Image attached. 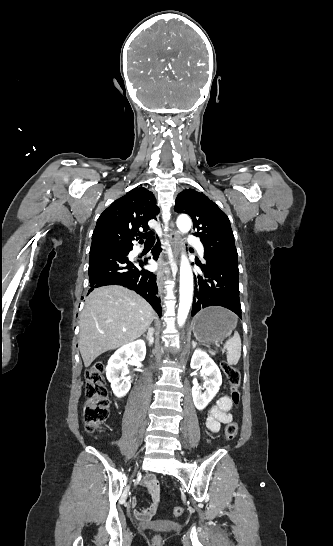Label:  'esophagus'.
Segmentation results:
<instances>
[{"label":"esophagus","instance_id":"34e87169","mask_svg":"<svg viewBox=\"0 0 333 546\" xmlns=\"http://www.w3.org/2000/svg\"><path fill=\"white\" fill-rule=\"evenodd\" d=\"M169 239H170V243H171V245L173 247V252H172V255H171L172 260L174 262H177L178 253H179L180 236H179V232L174 228V226H172L171 232L169 234ZM162 267H163V260H160V270L157 273V283H158L160 291H162L163 280H164V274H163V271H162Z\"/></svg>","mask_w":333,"mask_h":546}]
</instances>
